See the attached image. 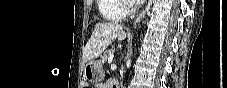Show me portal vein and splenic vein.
Returning <instances> with one entry per match:
<instances>
[{
    "instance_id": "1",
    "label": "portal vein and splenic vein",
    "mask_w": 227,
    "mask_h": 88,
    "mask_svg": "<svg viewBox=\"0 0 227 88\" xmlns=\"http://www.w3.org/2000/svg\"><path fill=\"white\" fill-rule=\"evenodd\" d=\"M112 61H113V56H110V57L108 58V62H109V63H112Z\"/></svg>"
}]
</instances>
